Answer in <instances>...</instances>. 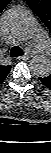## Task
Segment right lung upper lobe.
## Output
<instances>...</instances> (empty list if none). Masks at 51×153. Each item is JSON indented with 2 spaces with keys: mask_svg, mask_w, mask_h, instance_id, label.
<instances>
[{
  "mask_svg": "<svg viewBox=\"0 0 51 153\" xmlns=\"http://www.w3.org/2000/svg\"><path fill=\"white\" fill-rule=\"evenodd\" d=\"M10 1L11 0H0V13L8 5V3ZM10 69H11V66L10 65L3 66V65L0 64V84L4 81V79L8 75Z\"/></svg>",
  "mask_w": 51,
  "mask_h": 153,
  "instance_id": "right-lung-upper-lobe-1",
  "label": "right lung upper lobe"
}]
</instances>
